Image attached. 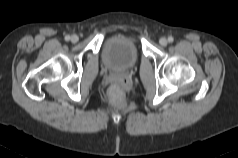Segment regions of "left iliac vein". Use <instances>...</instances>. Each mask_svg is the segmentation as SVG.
Segmentation results:
<instances>
[{"label": "left iliac vein", "mask_w": 238, "mask_h": 158, "mask_svg": "<svg viewBox=\"0 0 238 158\" xmlns=\"http://www.w3.org/2000/svg\"><path fill=\"white\" fill-rule=\"evenodd\" d=\"M159 43L162 46H166L168 44V41L166 38L162 37V38H160Z\"/></svg>", "instance_id": "left-iliac-vein-1"}]
</instances>
